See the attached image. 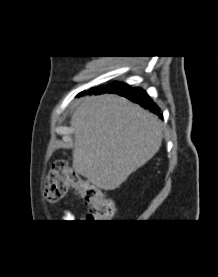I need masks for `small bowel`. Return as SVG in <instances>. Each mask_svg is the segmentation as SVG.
<instances>
[{"label":"small bowel","instance_id":"obj_1","mask_svg":"<svg viewBox=\"0 0 218 277\" xmlns=\"http://www.w3.org/2000/svg\"><path fill=\"white\" fill-rule=\"evenodd\" d=\"M75 219L73 213L69 210H65L62 216L63 222H73Z\"/></svg>","mask_w":218,"mask_h":277}]
</instances>
